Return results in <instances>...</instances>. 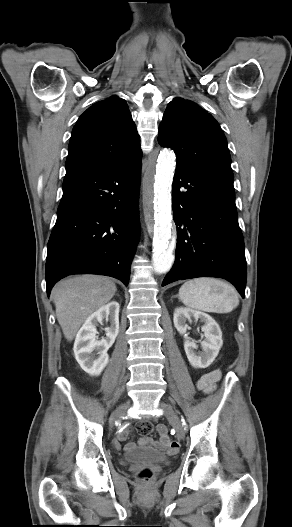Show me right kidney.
<instances>
[{
	"label": "right kidney",
	"instance_id": "ca27d5eb",
	"mask_svg": "<svg viewBox=\"0 0 292 527\" xmlns=\"http://www.w3.org/2000/svg\"><path fill=\"white\" fill-rule=\"evenodd\" d=\"M119 303L112 301L94 312L77 333L74 354L81 368L90 375H100L109 361L108 349L119 333ZM103 319L110 322L105 328L106 338L96 340L98 323Z\"/></svg>",
	"mask_w": 292,
	"mask_h": 527
}]
</instances>
